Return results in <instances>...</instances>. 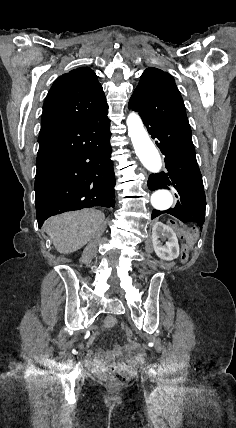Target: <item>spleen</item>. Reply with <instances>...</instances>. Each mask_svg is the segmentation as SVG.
Masks as SVG:
<instances>
[{
  "mask_svg": "<svg viewBox=\"0 0 236 428\" xmlns=\"http://www.w3.org/2000/svg\"><path fill=\"white\" fill-rule=\"evenodd\" d=\"M185 238L187 240V244H191V246H193V244H194L193 236H191V234H185Z\"/></svg>",
  "mask_w": 236,
  "mask_h": 428,
  "instance_id": "1",
  "label": "spleen"
}]
</instances>
